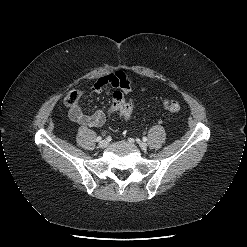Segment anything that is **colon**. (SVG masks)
Instances as JSON below:
<instances>
[{
    "mask_svg": "<svg viewBox=\"0 0 247 247\" xmlns=\"http://www.w3.org/2000/svg\"><path fill=\"white\" fill-rule=\"evenodd\" d=\"M80 94L77 91H71L65 98V104L72 108L77 106ZM163 108L169 113H177L180 110L179 102L174 98H165L162 101ZM116 112L124 119L130 118L132 114V106L127 103L120 91H115L112 96L109 113Z\"/></svg>",
    "mask_w": 247,
    "mask_h": 247,
    "instance_id": "obj_1",
    "label": "colon"
}]
</instances>
